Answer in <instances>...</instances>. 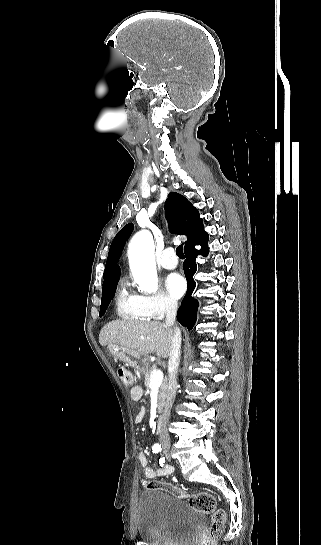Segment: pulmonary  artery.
<instances>
[{
	"mask_svg": "<svg viewBox=\"0 0 321 545\" xmlns=\"http://www.w3.org/2000/svg\"><path fill=\"white\" fill-rule=\"evenodd\" d=\"M171 248H167L160 252V257H158V263L165 269H175L178 265L177 260L173 259V252Z\"/></svg>",
	"mask_w": 321,
	"mask_h": 545,
	"instance_id": "e3ab8cb5",
	"label": "pulmonary artery"
}]
</instances>
